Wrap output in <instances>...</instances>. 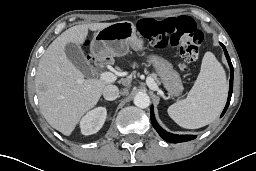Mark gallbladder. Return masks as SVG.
Returning <instances> with one entry per match:
<instances>
[{
    "instance_id": "obj_1",
    "label": "gallbladder",
    "mask_w": 256,
    "mask_h": 171,
    "mask_svg": "<svg viewBox=\"0 0 256 171\" xmlns=\"http://www.w3.org/2000/svg\"><path fill=\"white\" fill-rule=\"evenodd\" d=\"M65 54L67 58L84 74L91 70V66L85 59L81 48L75 43H67L65 45Z\"/></svg>"
}]
</instances>
